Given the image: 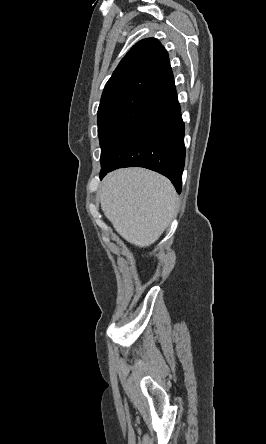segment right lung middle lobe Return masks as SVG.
Here are the masks:
<instances>
[{"label":"right lung middle lobe","instance_id":"dd1d6c3e","mask_svg":"<svg viewBox=\"0 0 266 444\" xmlns=\"http://www.w3.org/2000/svg\"><path fill=\"white\" fill-rule=\"evenodd\" d=\"M165 105L163 100L141 93L100 104L97 117L101 163Z\"/></svg>","mask_w":266,"mask_h":444}]
</instances>
